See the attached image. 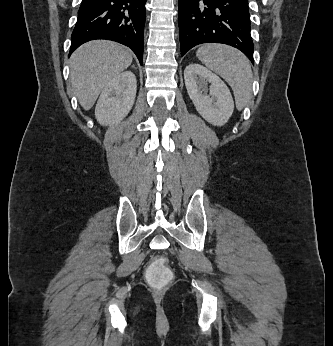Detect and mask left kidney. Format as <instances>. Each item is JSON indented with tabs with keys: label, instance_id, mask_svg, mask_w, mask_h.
I'll use <instances>...</instances> for the list:
<instances>
[{
	"label": "left kidney",
	"instance_id": "1",
	"mask_svg": "<svg viewBox=\"0 0 333 346\" xmlns=\"http://www.w3.org/2000/svg\"><path fill=\"white\" fill-rule=\"evenodd\" d=\"M188 95L198 113L210 124L223 126L231 117L234 102L227 85L200 64H190L184 70ZM210 83L209 95L201 91Z\"/></svg>",
	"mask_w": 333,
	"mask_h": 346
}]
</instances>
